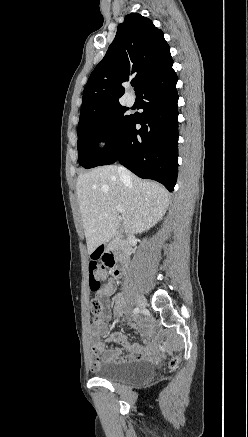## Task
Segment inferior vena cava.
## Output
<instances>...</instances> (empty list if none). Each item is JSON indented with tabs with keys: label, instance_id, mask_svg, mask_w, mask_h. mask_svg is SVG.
Returning a JSON list of instances; mask_svg holds the SVG:
<instances>
[{
	"label": "inferior vena cava",
	"instance_id": "inferior-vena-cava-1",
	"mask_svg": "<svg viewBox=\"0 0 248 437\" xmlns=\"http://www.w3.org/2000/svg\"><path fill=\"white\" fill-rule=\"evenodd\" d=\"M118 172H119L120 176L123 178H126L128 176V171L123 166L118 167Z\"/></svg>",
	"mask_w": 248,
	"mask_h": 437
}]
</instances>
